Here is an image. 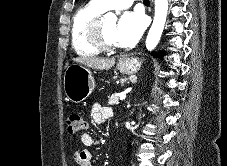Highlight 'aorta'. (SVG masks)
<instances>
[{"label":"aorta","instance_id":"aorta-1","mask_svg":"<svg viewBox=\"0 0 227 166\" xmlns=\"http://www.w3.org/2000/svg\"><path fill=\"white\" fill-rule=\"evenodd\" d=\"M167 12L168 0H155V16L146 39V48L149 51L155 49L160 41L166 22ZM105 17L110 20L117 19L116 15L111 12L107 13Z\"/></svg>","mask_w":227,"mask_h":166}]
</instances>
